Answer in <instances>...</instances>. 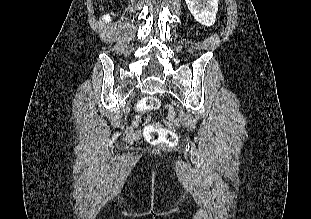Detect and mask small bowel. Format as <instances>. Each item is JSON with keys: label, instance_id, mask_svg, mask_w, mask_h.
I'll return each mask as SVG.
<instances>
[{"label": "small bowel", "instance_id": "1", "mask_svg": "<svg viewBox=\"0 0 311 219\" xmlns=\"http://www.w3.org/2000/svg\"><path fill=\"white\" fill-rule=\"evenodd\" d=\"M140 121H141V118L139 116H135L133 118L131 125L129 127V130H128V137L129 138H134L138 134L137 128L140 124ZM166 124H169V122H166Z\"/></svg>", "mask_w": 311, "mask_h": 219}]
</instances>
